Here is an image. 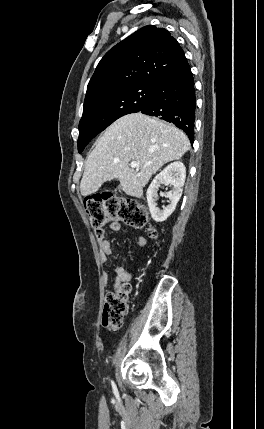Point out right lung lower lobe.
<instances>
[{
    "label": "right lung lower lobe",
    "mask_w": 264,
    "mask_h": 429,
    "mask_svg": "<svg viewBox=\"0 0 264 429\" xmlns=\"http://www.w3.org/2000/svg\"><path fill=\"white\" fill-rule=\"evenodd\" d=\"M196 97L192 72L184 56L155 86L140 110L174 123L194 141Z\"/></svg>",
    "instance_id": "obj_1"
}]
</instances>
